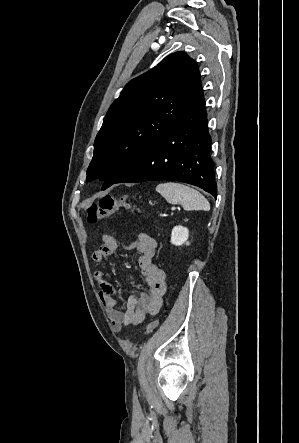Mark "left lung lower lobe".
Returning <instances> with one entry per match:
<instances>
[{
    "instance_id": "1",
    "label": "left lung lower lobe",
    "mask_w": 299,
    "mask_h": 443,
    "mask_svg": "<svg viewBox=\"0 0 299 443\" xmlns=\"http://www.w3.org/2000/svg\"><path fill=\"white\" fill-rule=\"evenodd\" d=\"M207 123L205 99L202 97L114 184L173 180L196 185L217 198Z\"/></svg>"
}]
</instances>
